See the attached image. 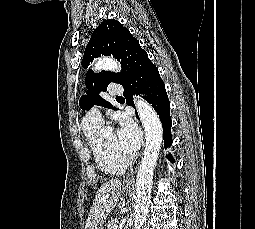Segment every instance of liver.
Masks as SVG:
<instances>
[{"label":"liver","mask_w":255,"mask_h":229,"mask_svg":"<svg viewBox=\"0 0 255 229\" xmlns=\"http://www.w3.org/2000/svg\"><path fill=\"white\" fill-rule=\"evenodd\" d=\"M121 186V181L114 179L101 185L90 208L85 229L104 222L119 201Z\"/></svg>","instance_id":"obj_1"}]
</instances>
